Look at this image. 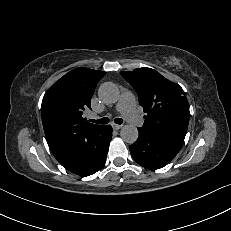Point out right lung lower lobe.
Wrapping results in <instances>:
<instances>
[{
  "instance_id": "98d812e1",
  "label": "right lung lower lobe",
  "mask_w": 231,
  "mask_h": 231,
  "mask_svg": "<svg viewBox=\"0 0 231 231\" xmlns=\"http://www.w3.org/2000/svg\"><path fill=\"white\" fill-rule=\"evenodd\" d=\"M111 138L110 125L83 132L78 136L72 151L56 159L74 174L92 175L104 166Z\"/></svg>"
}]
</instances>
